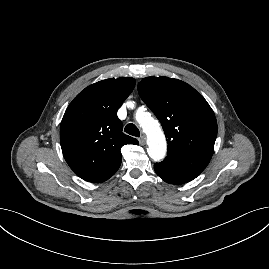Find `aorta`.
I'll return each instance as SVG.
<instances>
[{
    "mask_svg": "<svg viewBox=\"0 0 269 269\" xmlns=\"http://www.w3.org/2000/svg\"><path fill=\"white\" fill-rule=\"evenodd\" d=\"M136 121L147 136L148 155L154 161L164 159L167 153V142L160 124L149 112L137 111Z\"/></svg>",
    "mask_w": 269,
    "mask_h": 269,
    "instance_id": "762f6f07",
    "label": "aorta"
}]
</instances>
